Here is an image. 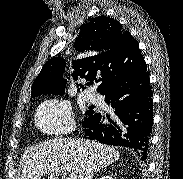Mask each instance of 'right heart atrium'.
<instances>
[{
	"instance_id": "obj_1",
	"label": "right heart atrium",
	"mask_w": 183,
	"mask_h": 179,
	"mask_svg": "<svg viewBox=\"0 0 183 179\" xmlns=\"http://www.w3.org/2000/svg\"><path fill=\"white\" fill-rule=\"evenodd\" d=\"M36 124L48 134L61 135L69 133L74 126L71 106L66 100H47L36 113Z\"/></svg>"
}]
</instances>
